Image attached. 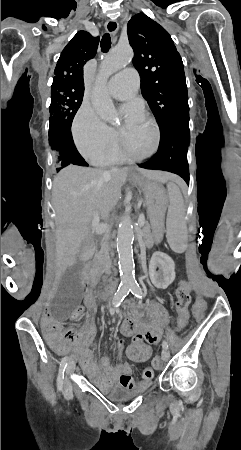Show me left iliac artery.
Listing matches in <instances>:
<instances>
[{"instance_id":"44dca946","label":"left iliac artery","mask_w":241,"mask_h":450,"mask_svg":"<svg viewBox=\"0 0 241 450\" xmlns=\"http://www.w3.org/2000/svg\"><path fill=\"white\" fill-rule=\"evenodd\" d=\"M131 293H132L134 296L138 297V298H141V297H142V290H141V288H140L139 285H132V286H131ZM162 347L168 349V342L164 340V341L162 342Z\"/></svg>"}]
</instances>
